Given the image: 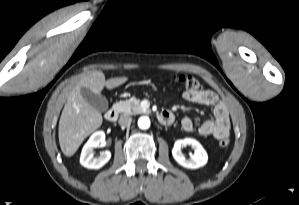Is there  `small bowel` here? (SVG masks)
<instances>
[{"label":"small bowel","instance_id":"obj_1","mask_svg":"<svg viewBox=\"0 0 299 205\" xmlns=\"http://www.w3.org/2000/svg\"><path fill=\"white\" fill-rule=\"evenodd\" d=\"M183 98L188 102L211 106L213 108V119L203 122L199 127V133L202 136H212L217 140L229 136L230 120L227 109L213 91L186 90L183 93ZM181 126L186 132H191L194 129V123L189 117L182 119Z\"/></svg>","mask_w":299,"mask_h":205}]
</instances>
